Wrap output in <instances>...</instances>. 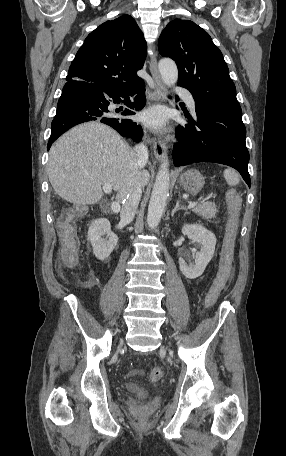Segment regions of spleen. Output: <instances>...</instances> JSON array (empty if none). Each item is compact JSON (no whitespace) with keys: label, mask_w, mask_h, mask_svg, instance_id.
Wrapping results in <instances>:
<instances>
[{"label":"spleen","mask_w":286,"mask_h":456,"mask_svg":"<svg viewBox=\"0 0 286 456\" xmlns=\"http://www.w3.org/2000/svg\"><path fill=\"white\" fill-rule=\"evenodd\" d=\"M223 176L230 186H236L239 183V174L231 168L225 169Z\"/></svg>","instance_id":"3e777b00"}]
</instances>
